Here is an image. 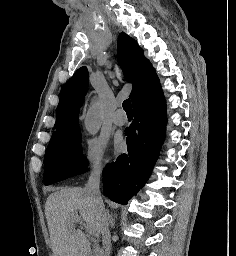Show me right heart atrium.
I'll list each match as a JSON object with an SVG mask.
<instances>
[{
	"label": "right heart atrium",
	"instance_id": "right-heart-atrium-1",
	"mask_svg": "<svg viewBox=\"0 0 236 256\" xmlns=\"http://www.w3.org/2000/svg\"><path fill=\"white\" fill-rule=\"evenodd\" d=\"M83 162L87 175L99 176L104 169L105 144L97 139L89 140L84 149Z\"/></svg>",
	"mask_w": 236,
	"mask_h": 256
}]
</instances>
